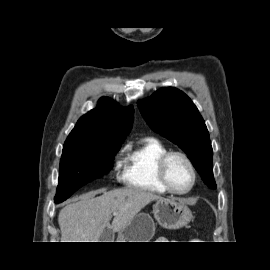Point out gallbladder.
Segmentation results:
<instances>
[{
	"mask_svg": "<svg viewBox=\"0 0 270 270\" xmlns=\"http://www.w3.org/2000/svg\"><path fill=\"white\" fill-rule=\"evenodd\" d=\"M114 239V233L111 229L106 228L102 232L99 241L100 242H111Z\"/></svg>",
	"mask_w": 270,
	"mask_h": 270,
	"instance_id": "1",
	"label": "gallbladder"
}]
</instances>
